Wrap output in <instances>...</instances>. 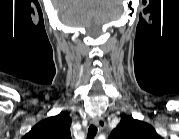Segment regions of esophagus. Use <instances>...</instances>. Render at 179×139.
Instances as JSON below:
<instances>
[{"label":"esophagus","mask_w":179,"mask_h":139,"mask_svg":"<svg viewBox=\"0 0 179 139\" xmlns=\"http://www.w3.org/2000/svg\"><path fill=\"white\" fill-rule=\"evenodd\" d=\"M92 124L101 130L105 127L106 122L103 117H98V118L92 120Z\"/></svg>","instance_id":"esophagus-1"}]
</instances>
